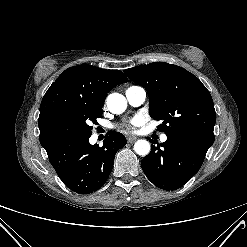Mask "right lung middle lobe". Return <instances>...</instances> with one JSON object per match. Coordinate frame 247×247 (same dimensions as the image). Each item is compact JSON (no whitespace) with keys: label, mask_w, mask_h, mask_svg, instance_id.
Masks as SVG:
<instances>
[{"label":"right lung middle lobe","mask_w":247,"mask_h":247,"mask_svg":"<svg viewBox=\"0 0 247 247\" xmlns=\"http://www.w3.org/2000/svg\"><path fill=\"white\" fill-rule=\"evenodd\" d=\"M102 117V109L84 108L67 114L56 115L48 124L47 140L56 146L67 140L91 136V123L97 124Z\"/></svg>","instance_id":"dd1d6c3e"}]
</instances>
